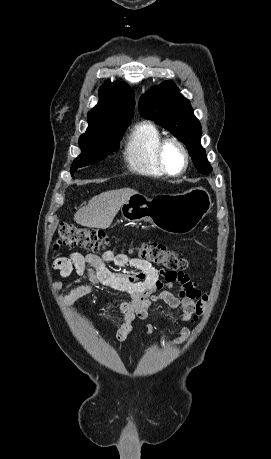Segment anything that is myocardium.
Here are the masks:
<instances>
[{"label": "myocardium", "mask_w": 271, "mask_h": 459, "mask_svg": "<svg viewBox=\"0 0 271 459\" xmlns=\"http://www.w3.org/2000/svg\"><path fill=\"white\" fill-rule=\"evenodd\" d=\"M171 142L176 143L181 148L185 156V160H186L185 167L179 172H173L172 170H170L165 160V148L167 144ZM156 158L162 170L165 172L166 175L170 177H180L184 175L188 171L191 165V154H190L188 146L180 137L175 136V135L163 136L159 140L157 144V148H156Z\"/></svg>", "instance_id": "f54148a6"}]
</instances>
